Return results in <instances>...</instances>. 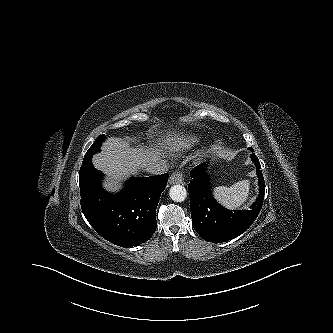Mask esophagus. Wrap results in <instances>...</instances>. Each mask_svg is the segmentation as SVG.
Masks as SVG:
<instances>
[{
	"label": "esophagus",
	"mask_w": 333,
	"mask_h": 333,
	"mask_svg": "<svg viewBox=\"0 0 333 333\" xmlns=\"http://www.w3.org/2000/svg\"><path fill=\"white\" fill-rule=\"evenodd\" d=\"M183 174L180 171H175L169 177V184H181L183 182Z\"/></svg>",
	"instance_id": "esophagus-1"
}]
</instances>
